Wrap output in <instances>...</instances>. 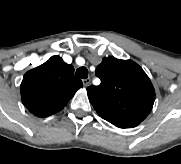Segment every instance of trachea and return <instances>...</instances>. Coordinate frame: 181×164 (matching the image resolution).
I'll list each match as a JSON object with an SVG mask.
<instances>
[{
    "label": "trachea",
    "mask_w": 181,
    "mask_h": 164,
    "mask_svg": "<svg viewBox=\"0 0 181 164\" xmlns=\"http://www.w3.org/2000/svg\"><path fill=\"white\" fill-rule=\"evenodd\" d=\"M76 76L82 79H86L88 77V70L86 67H80L76 70Z\"/></svg>",
    "instance_id": "1"
}]
</instances>
